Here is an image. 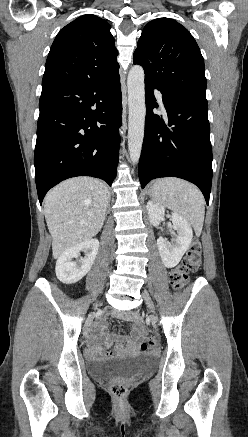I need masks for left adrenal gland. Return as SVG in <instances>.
<instances>
[{
    "mask_svg": "<svg viewBox=\"0 0 248 437\" xmlns=\"http://www.w3.org/2000/svg\"><path fill=\"white\" fill-rule=\"evenodd\" d=\"M150 193H151V190L147 192L148 195H150Z\"/></svg>",
    "mask_w": 248,
    "mask_h": 437,
    "instance_id": "a2214340",
    "label": "left adrenal gland"
}]
</instances>
